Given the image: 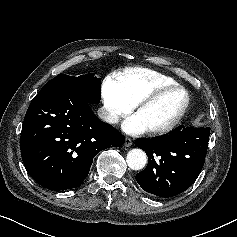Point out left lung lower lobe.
<instances>
[{
	"label": "left lung lower lobe",
	"instance_id": "obj_1",
	"mask_svg": "<svg viewBox=\"0 0 237 237\" xmlns=\"http://www.w3.org/2000/svg\"><path fill=\"white\" fill-rule=\"evenodd\" d=\"M209 135L210 127L180 125L162 136L137 139L135 145L148 155V165L136 175V181L143 190L159 197L184 192L203 168Z\"/></svg>",
	"mask_w": 237,
	"mask_h": 237
}]
</instances>
